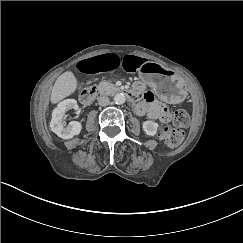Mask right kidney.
<instances>
[{
  "label": "right kidney",
  "mask_w": 243,
  "mask_h": 243,
  "mask_svg": "<svg viewBox=\"0 0 243 243\" xmlns=\"http://www.w3.org/2000/svg\"><path fill=\"white\" fill-rule=\"evenodd\" d=\"M70 109H78V104L75 99L61 101L52 112L50 128L58 137L63 139H70L73 136L78 135L82 129L81 123L77 121H71L65 126L63 118L65 112Z\"/></svg>",
  "instance_id": "right-kidney-1"
}]
</instances>
